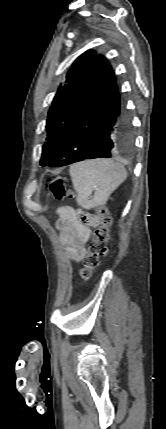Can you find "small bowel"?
I'll return each mask as SVG.
<instances>
[{
	"mask_svg": "<svg viewBox=\"0 0 166 429\" xmlns=\"http://www.w3.org/2000/svg\"><path fill=\"white\" fill-rule=\"evenodd\" d=\"M56 227L60 241L66 246L67 256L73 261H82L87 254L86 244L90 239L91 227L99 224L97 215L83 213L70 206L57 210Z\"/></svg>",
	"mask_w": 166,
	"mask_h": 429,
	"instance_id": "small-bowel-1",
	"label": "small bowel"
}]
</instances>
